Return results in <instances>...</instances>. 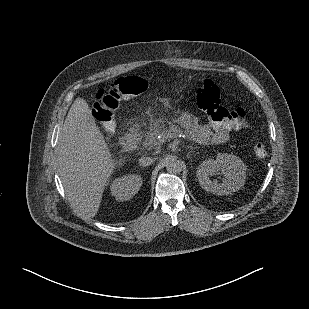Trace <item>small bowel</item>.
I'll return each mask as SVG.
<instances>
[{
	"instance_id": "1",
	"label": "small bowel",
	"mask_w": 309,
	"mask_h": 309,
	"mask_svg": "<svg viewBox=\"0 0 309 309\" xmlns=\"http://www.w3.org/2000/svg\"><path fill=\"white\" fill-rule=\"evenodd\" d=\"M183 125L189 138L199 143L221 144L230 139V127L200 123L194 115H187Z\"/></svg>"
}]
</instances>
